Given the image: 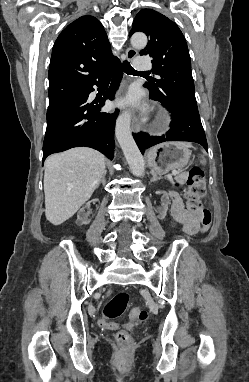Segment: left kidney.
<instances>
[{"label": "left kidney", "instance_id": "obj_1", "mask_svg": "<svg viewBox=\"0 0 249 382\" xmlns=\"http://www.w3.org/2000/svg\"><path fill=\"white\" fill-rule=\"evenodd\" d=\"M168 197L167 196H160L159 201H157V208H166L168 205Z\"/></svg>", "mask_w": 249, "mask_h": 382}]
</instances>
